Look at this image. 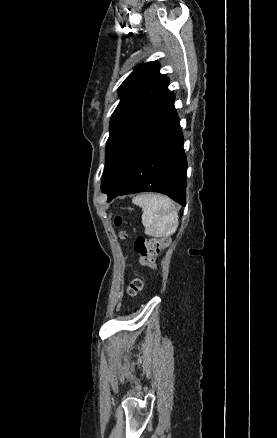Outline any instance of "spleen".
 <instances>
[{
    "instance_id": "3e777b00",
    "label": "spleen",
    "mask_w": 277,
    "mask_h": 438,
    "mask_svg": "<svg viewBox=\"0 0 277 438\" xmlns=\"http://www.w3.org/2000/svg\"><path fill=\"white\" fill-rule=\"evenodd\" d=\"M132 202L143 210L142 224L146 236L165 238L176 232L178 214L170 198L160 194H141L133 198Z\"/></svg>"
}]
</instances>
